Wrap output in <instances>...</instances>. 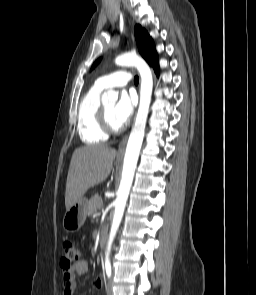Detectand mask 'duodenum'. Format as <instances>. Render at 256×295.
<instances>
[{"instance_id":"duodenum-1","label":"duodenum","mask_w":256,"mask_h":295,"mask_svg":"<svg viewBox=\"0 0 256 295\" xmlns=\"http://www.w3.org/2000/svg\"><path fill=\"white\" fill-rule=\"evenodd\" d=\"M106 238H107V227L104 226L101 228L100 234H99V246L100 247H103L105 245Z\"/></svg>"}]
</instances>
